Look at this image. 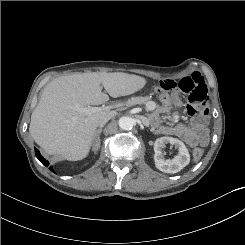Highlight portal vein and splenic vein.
Instances as JSON below:
<instances>
[{"label": "portal vein and splenic vein", "mask_w": 245, "mask_h": 245, "mask_svg": "<svg viewBox=\"0 0 245 245\" xmlns=\"http://www.w3.org/2000/svg\"><path fill=\"white\" fill-rule=\"evenodd\" d=\"M120 106H122V104H115V105H112V106H108L106 108L109 109V108H116V107H120ZM76 109L80 110V111H82V112H84L86 114H91V113L99 111V110H101L103 108H101V107H80V106L77 105Z\"/></svg>", "instance_id": "18ae733b"}]
</instances>
